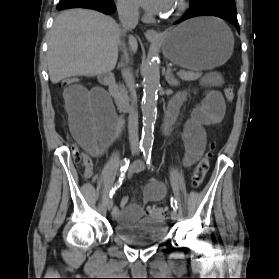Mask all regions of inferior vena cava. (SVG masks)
Instances as JSON below:
<instances>
[{"label": "inferior vena cava", "mask_w": 279, "mask_h": 279, "mask_svg": "<svg viewBox=\"0 0 279 279\" xmlns=\"http://www.w3.org/2000/svg\"><path fill=\"white\" fill-rule=\"evenodd\" d=\"M118 14L122 26L123 35H125L128 31L134 29L137 26L139 20V10L137 6L133 4L119 5ZM125 54L128 57L126 50H124V56ZM123 60H125V58H123ZM128 63H129V57H128ZM128 63L125 64L126 67ZM123 75L132 97L131 109L129 111V116H128L129 141L132 147L137 148L138 147V113L136 110L134 79H133V74L129 68L124 69Z\"/></svg>", "instance_id": "602c4592"}]
</instances>
